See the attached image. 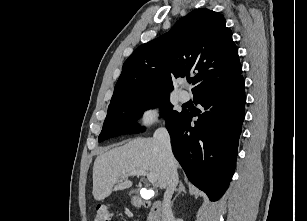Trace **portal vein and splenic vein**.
I'll return each mask as SVG.
<instances>
[{
    "label": "portal vein and splenic vein",
    "instance_id": "obj_1",
    "mask_svg": "<svg viewBox=\"0 0 307 221\" xmlns=\"http://www.w3.org/2000/svg\"><path fill=\"white\" fill-rule=\"evenodd\" d=\"M128 176H146L149 182L151 183L157 182L156 175L154 173L147 172L145 170H134L129 172L128 174H125L123 177H128Z\"/></svg>",
    "mask_w": 307,
    "mask_h": 221
}]
</instances>
